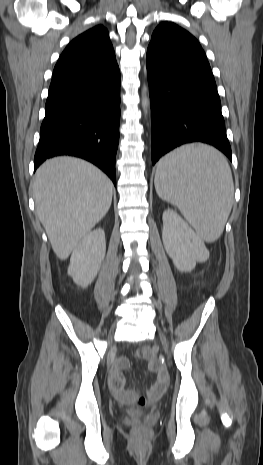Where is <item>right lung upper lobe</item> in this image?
Returning <instances> with one entry per match:
<instances>
[{
	"label": "right lung upper lobe",
	"mask_w": 263,
	"mask_h": 465,
	"mask_svg": "<svg viewBox=\"0 0 263 465\" xmlns=\"http://www.w3.org/2000/svg\"><path fill=\"white\" fill-rule=\"evenodd\" d=\"M118 69L109 33L95 26L73 39L61 54L53 72L50 88L100 78Z\"/></svg>",
	"instance_id": "obj_1"
}]
</instances>
